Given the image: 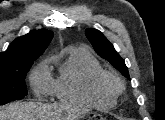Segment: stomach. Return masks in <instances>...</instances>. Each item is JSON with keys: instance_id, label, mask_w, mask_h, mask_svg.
Returning a JSON list of instances; mask_svg holds the SVG:
<instances>
[{"instance_id": "obj_1", "label": "stomach", "mask_w": 165, "mask_h": 120, "mask_svg": "<svg viewBox=\"0 0 165 120\" xmlns=\"http://www.w3.org/2000/svg\"><path fill=\"white\" fill-rule=\"evenodd\" d=\"M97 116H99L101 119L102 116H100L99 114L95 113V112H85V113H82L80 116H79V120H84V119H89V120H92L93 118H96Z\"/></svg>"}]
</instances>
